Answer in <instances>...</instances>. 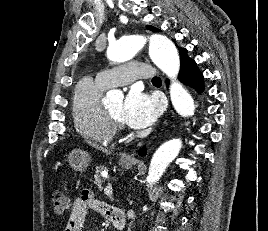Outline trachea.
<instances>
[{"label": "trachea", "instance_id": "1", "mask_svg": "<svg viewBox=\"0 0 268 231\" xmlns=\"http://www.w3.org/2000/svg\"><path fill=\"white\" fill-rule=\"evenodd\" d=\"M152 82H161V79L159 77H154L152 79Z\"/></svg>", "mask_w": 268, "mask_h": 231}]
</instances>
